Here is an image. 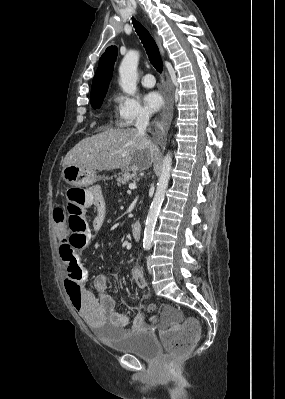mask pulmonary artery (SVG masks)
Masks as SVG:
<instances>
[{"instance_id":"obj_1","label":"pulmonary artery","mask_w":285,"mask_h":399,"mask_svg":"<svg viewBox=\"0 0 285 399\" xmlns=\"http://www.w3.org/2000/svg\"><path fill=\"white\" fill-rule=\"evenodd\" d=\"M141 84L144 87H153L155 85V79L152 73H145L141 78Z\"/></svg>"}]
</instances>
